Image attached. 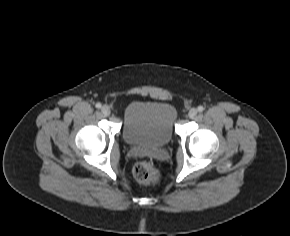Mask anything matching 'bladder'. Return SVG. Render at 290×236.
Wrapping results in <instances>:
<instances>
[{"label":"bladder","mask_w":290,"mask_h":236,"mask_svg":"<svg viewBox=\"0 0 290 236\" xmlns=\"http://www.w3.org/2000/svg\"><path fill=\"white\" fill-rule=\"evenodd\" d=\"M175 119L176 111L168 103L133 102L125 110L123 138L130 146L163 147L173 137Z\"/></svg>","instance_id":"bladder-1"}]
</instances>
